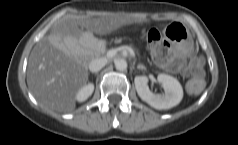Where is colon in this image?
I'll return each instance as SVG.
<instances>
[{
	"mask_svg": "<svg viewBox=\"0 0 238 145\" xmlns=\"http://www.w3.org/2000/svg\"><path fill=\"white\" fill-rule=\"evenodd\" d=\"M154 60L171 71H183L191 76L187 89L192 94L199 93L204 86L203 61L200 58L176 59L169 56V43L156 29L145 31Z\"/></svg>",
	"mask_w": 238,
	"mask_h": 145,
	"instance_id": "1",
	"label": "colon"
}]
</instances>
